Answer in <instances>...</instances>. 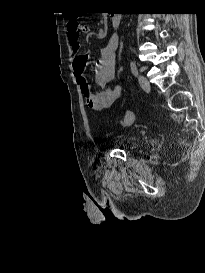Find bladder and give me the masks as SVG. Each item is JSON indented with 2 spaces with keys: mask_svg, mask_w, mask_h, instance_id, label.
I'll return each instance as SVG.
<instances>
[{
  "mask_svg": "<svg viewBox=\"0 0 205 273\" xmlns=\"http://www.w3.org/2000/svg\"><path fill=\"white\" fill-rule=\"evenodd\" d=\"M128 144L134 145L136 143L135 139L131 138L127 141Z\"/></svg>",
  "mask_w": 205,
  "mask_h": 273,
  "instance_id": "31cf9c89",
  "label": "bladder"
}]
</instances>
